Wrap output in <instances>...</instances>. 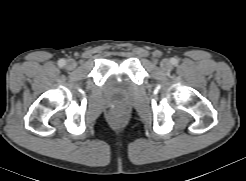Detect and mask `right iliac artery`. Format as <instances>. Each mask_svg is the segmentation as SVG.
Masks as SVG:
<instances>
[{
  "label": "right iliac artery",
  "instance_id": "right-iliac-artery-1",
  "mask_svg": "<svg viewBox=\"0 0 246 181\" xmlns=\"http://www.w3.org/2000/svg\"><path fill=\"white\" fill-rule=\"evenodd\" d=\"M65 64H66V61H65L64 59H60V60L58 61V65H59L60 67H63Z\"/></svg>",
  "mask_w": 246,
  "mask_h": 181
}]
</instances>
